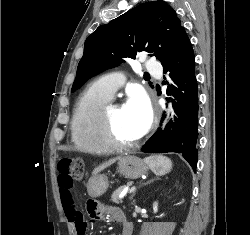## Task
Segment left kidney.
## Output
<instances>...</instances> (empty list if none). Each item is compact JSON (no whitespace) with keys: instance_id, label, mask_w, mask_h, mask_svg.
I'll list each match as a JSON object with an SVG mask.
<instances>
[{"instance_id":"1","label":"left kidney","mask_w":250,"mask_h":235,"mask_svg":"<svg viewBox=\"0 0 250 235\" xmlns=\"http://www.w3.org/2000/svg\"><path fill=\"white\" fill-rule=\"evenodd\" d=\"M153 211H154V213H157V211H158V204H157V202H155L153 204Z\"/></svg>"}]
</instances>
